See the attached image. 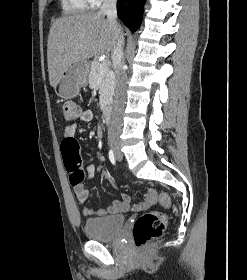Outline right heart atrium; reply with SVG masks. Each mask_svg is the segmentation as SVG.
I'll list each match as a JSON object with an SVG mask.
<instances>
[{
	"label": "right heart atrium",
	"instance_id": "right-heart-atrium-1",
	"mask_svg": "<svg viewBox=\"0 0 247 280\" xmlns=\"http://www.w3.org/2000/svg\"><path fill=\"white\" fill-rule=\"evenodd\" d=\"M89 3L92 5V6H98L99 4H101L104 0H88Z\"/></svg>",
	"mask_w": 247,
	"mask_h": 280
}]
</instances>
